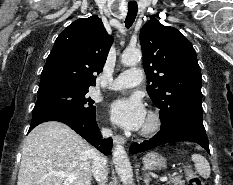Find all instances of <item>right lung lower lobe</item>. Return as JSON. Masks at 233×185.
Listing matches in <instances>:
<instances>
[{
	"instance_id": "right-lung-lower-lobe-1",
	"label": "right lung lower lobe",
	"mask_w": 233,
	"mask_h": 185,
	"mask_svg": "<svg viewBox=\"0 0 233 185\" xmlns=\"http://www.w3.org/2000/svg\"><path fill=\"white\" fill-rule=\"evenodd\" d=\"M46 121L65 123L103 154L108 155L111 153L112 139L109 138L102 141L96 123V116L87 117L79 113L65 110L37 109L32 111V122L29 131Z\"/></svg>"
}]
</instances>
